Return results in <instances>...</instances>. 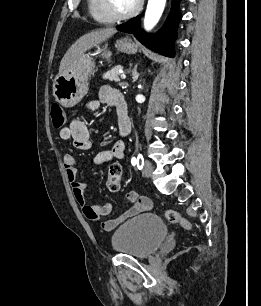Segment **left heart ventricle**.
<instances>
[{"instance_id":"1","label":"left heart ventricle","mask_w":261,"mask_h":306,"mask_svg":"<svg viewBox=\"0 0 261 306\" xmlns=\"http://www.w3.org/2000/svg\"><path fill=\"white\" fill-rule=\"evenodd\" d=\"M114 8L119 13H126L132 10L138 0H112Z\"/></svg>"}]
</instances>
